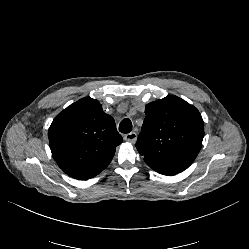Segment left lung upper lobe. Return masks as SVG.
Wrapping results in <instances>:
<instances>
[{
  "mask_svg": "<svg viewBox=\"0 0 249 249\" xmlns=\"http://www.w3.org/2000/svg\"><path fill=\"white\" fill-rule=\"evenodd\" d=\"M136 147L154 169L179 173L195 160L202 146L204 123L198 109L169 95L145 107Z\"/></svg>",
  "mask_w": 249,
  "mask_h": 249,
  "instance_id": "5c2ea615",
  "label": "left lung upper lobe"
}]
</instances>
